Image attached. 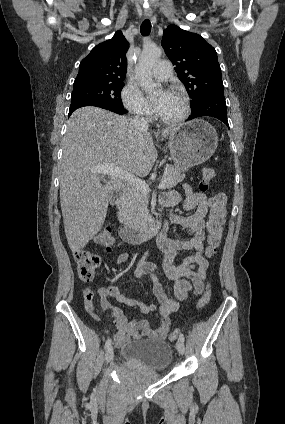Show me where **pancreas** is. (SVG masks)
Listing matches in <instances>:
<instances>
[{"label":"pancreas","instance_id":"obj_1","mask_svg":"<svg viewBox=\"0 0 285 424\" xmlns=\"http://www.w3.org/2000/svg\"><path fill=\"white\" fill-rule=\"evenodd\" d=\"M182 179L183 175L176 166L167 165L162 178L165 181L163 189L175 187ZM148 198V193L137 190L134 187L128 188L120 204L118 213L120 221L130 227L140 226L148 213Z\"/></svg>","mask_w":285,"mask_h":424}]
</instances>
